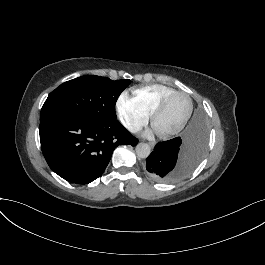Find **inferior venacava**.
<instances>
[{
  "label": "inferior vena cava",
  "instance_id": "602c4592",
  "mask_svg": "<svg viewBox=\"0 0 265 265\" xmlns=\"http://www.w3.org/2000/svg\"><path fill=\"white\" fill-rule=\"evenodd\" d=\"M128 130L132 133H136L139 130H141V126L140 125H130V126H128Z\"/></svg>",
  "mask_w": 265,
  "mask_h": 265
}]
</instances>
